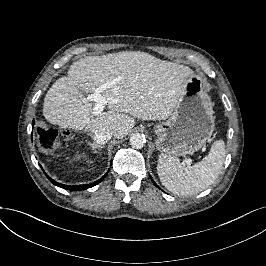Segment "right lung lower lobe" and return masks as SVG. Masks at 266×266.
I'll return each instance as SVG.
<instances>
[{
  "instance_id": "obj_1",
  "label": "right lung lower lobe",
  "mask_w": 266,
  "mask_h": 266,
  "mask_svg": "<svg viewBox=\"0 0 266 266\" xmlns=\"http://www.w3.org/2000/svg\"><path fill=\"white\" fill-rule=\"evenodd\" d=\"M33 125H34V121H33ZM45 173V172H44ZM45 175L47 176V178L56 186H59L61 188H64V189H68V190H74V191H77V190H84V189H88L90 187H93L95 185H97L98 183H100L106 176V174L99 180L93 182V183H90V184H86V185H78V186H68V185H63V184H60L56 181H54L53 179H51L46 173Z\"/></svg>"
}]
</instances>
